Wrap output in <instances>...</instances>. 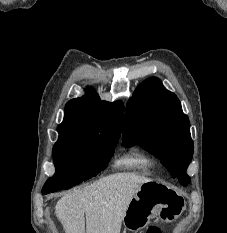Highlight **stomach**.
<instances>
[{"mask_svg":"<svg viewBox=\"0 0 227 233\" xmlns=\"http://www.w3.org/2000/svg\"><path fill=\"white\" fill-rule=\"evenodd\" d=\"M184 207L185 200L177 190L163 182L150 181L138 188L123 223L126 229L138 231L146 227L154 217L161 221L175 220Z\"/></svg>","mask_w":227,"mask_h":233,"instance_id":"1","label":"stomach"}]
</instances>
